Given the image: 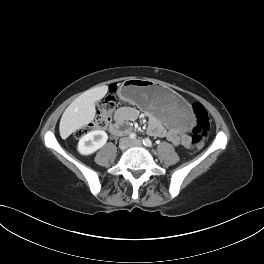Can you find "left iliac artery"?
Instances as JSON below:
<instances>
[{"label": "left iliac artery", "mask_w": 264, "mask_h": 264, "mask_svg": "<svg viewBox=\"0 0 264 264\" xmlns=\"http://www.w3.org/2000/svg\"><path fill=\"white\" fill-rule=\"evenodd\" d=\"M143 144H144L145 146H147V147H152V146H153L152 141H151L149 138H145V139L143 140Z\"/></svg>", "instance_id": "44dca946"}]
</instances>
